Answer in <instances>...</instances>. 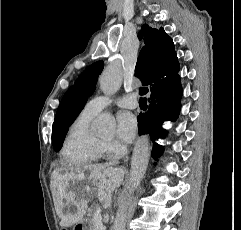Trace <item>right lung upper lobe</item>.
Instances as JSON below:
<instances>
[{
  "label": "right lung upper lobe",
  "instance_id": "1",
  "mask_svg": "<svg viewBox=\"0 0 241 230\" xmlns=\"http://www.w3.org/2000/svg\"><path fill=\"white\" fill-rule=\"evenodd\" d=\"M139 39L144 36L145 46L140 51L135 75L143 85L151 88L179 68L174 43L161 27L159 30L142 26Z\"/></svg>",
  "mask_w": 241,
  "mask_h": 230
}]
</instances>
